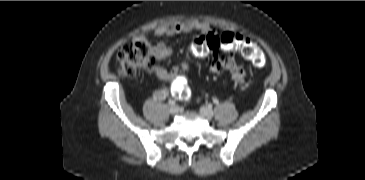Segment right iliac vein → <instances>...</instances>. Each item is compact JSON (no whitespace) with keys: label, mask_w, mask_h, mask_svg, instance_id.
I'll list each match as a JSON object with an SVG mask.
<instances>
[{"label":"right iliac vein","mask_w":365,"mask_h":180,"mask_svg":"<svg viewBox=\"0 0 365 180\" xmlns=\"http://www.w3.org/2000/svg\"><path fill=\"white\" fill-rule=\"evenodd\" d=\"M169 112L171 115H176L179 112V107L178 106H172L169 109Z\"/></svg>","instance_id":"obj_1"}]
</instances>
